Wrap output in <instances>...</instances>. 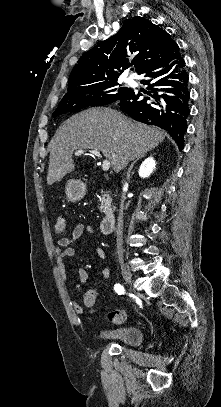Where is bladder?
<instances>
[{
    "mask_svg": "<svg viewBox=\"0 0 221 407\" xmlns=\"http://www.w3.org/2000/svg\"><path fill=\"white\" fill-rule=\"evenodd\" d=\"M98 338L105 341L120 342L131 347H138L144 341V333L139 327L123 326L102 329L98 333Z\"/></svg>",
    "mask_w": 221,
    "mask_h": 407,
    "instance_id": "bladder-1",
    "label": "bladder"
}]
</instances>
